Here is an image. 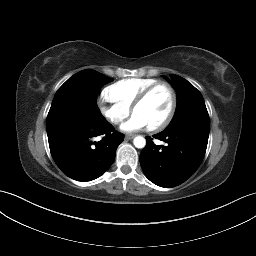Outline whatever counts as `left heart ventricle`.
<instances>
[{
  "mask_svg": "<svg viewBox=\"0 0 256 256\" xmlns=\"http://www.w3.org/2000/svg\"><path fill=\"white\" fill-rule=\"evenodd\" d=\"M171 106V94L166 87H159L133 113L142 116L149 126L165 118Z\"/></svg>",
  "mask_w": 256,
  "mask_h": 256,
  "instance_id": "obj_1",
  "label": "left heart ventricle"
}]
</instances>
